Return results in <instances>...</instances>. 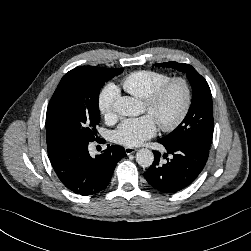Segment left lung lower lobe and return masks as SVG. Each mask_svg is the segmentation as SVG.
<instances>
[{
  "instance_id": "left-lung-lower-lobe-1",
  "label": "left lung lower lobe",
  "mask_w": 251,
  "mask_h": 251,
  "mask_svg": "<svg viewBox=\"0 0 251 251\" xmlns=\"http://www.w3.org/2000/svg\"><path fill=\"white\" fill-rule=\"evenodd\" d=\"M161 144L167 150L163 158L168 154H172V158L162 162L161 154L155 151L154 162L144 173V177L153 188L162 193L181 191L201 173L207 162L209 150L195 142Z\"/></svg>"
}]
</instances>
